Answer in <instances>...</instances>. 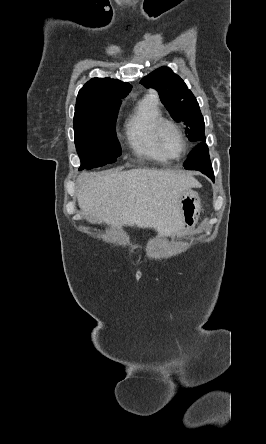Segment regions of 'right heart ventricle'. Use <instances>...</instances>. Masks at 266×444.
Returning a JSON list of instances; mask_svg holds the SVG:
<instances>
[{"label":"right heart ventricle","mask_w":266,"mask_h":444,"mask_svg":"<svg viewBox=\"0 0 266 444\" xmlns=\"http://www.w3.org/2000/svg\"><path fill=\"white\" fill-rule=\"evenodd\" d=\"M164 118L158 99L154 95L143 97L125 123V135L132 150L140 157L151 160H165L154 140V128Z\"/></svg>","instance_id":"1"}]
</instances>
